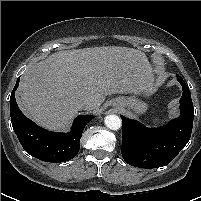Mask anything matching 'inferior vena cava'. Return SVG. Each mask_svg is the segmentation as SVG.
I'll return each instance as SVG.
<instances>
[{"label":"inferior vena cava","mask_w":201,"mask_h":201,"mask_svg":"<svg viewBox=\"0 0 201 201\" xmlns=\"http://www.w3.org/2000/svg\"><path fill=\"white\" fill-rule=\"evenodd\" d=\"M77 108L79 110H92L95 108V104L89 100H83L77 103Z\"/></svg>","instance_id":"obj_1"}]
</instances>
